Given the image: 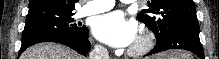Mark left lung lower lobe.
<instances>
[{"label": "left lung lower lobe", "instance_id": "obj_1", "mask_svg": "<svg viewBox=\"0 0 219 59\" xmlns=\"http://www.w3.org/2000/svg\"><path fill=\"white\" fill-rule=\"evenodd\" d=\"M169 49H184L191 51L201 59H205L199 39V24L188 23L175 29L170 35L158 39L157 44L147 55L155 54Z\"/></svg>", "mask_w": 219, "mask_h": 59}]
</instances>
